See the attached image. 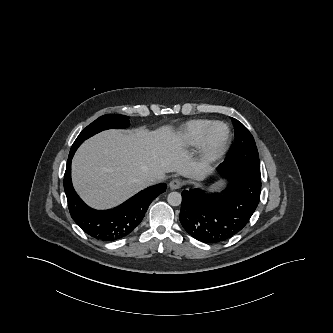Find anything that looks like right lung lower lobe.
<instances>
[{
	"mask_svg": "<svg viewBox=\"0 0 333 333\" xmlns=\"http://www.w3.org/2000/svg\"><path fill=\"white\" fill-rule=\"evenodd\" d=\"M76 150H70L64 175V190L73 220L91 237L115 241L127 236L142 221L148 206L167 185L160 183L140 191L114 209L99 211L87 206L76 194L71 181V160Z\"/></svg>",
	"mask_w": 333,
	"mask_h": 333,
	"instance_id": "right-lung-lower-lobe-1",
	"label": "right lung lower lobe"
}]
</instances>
